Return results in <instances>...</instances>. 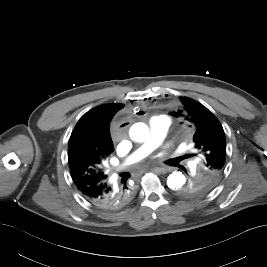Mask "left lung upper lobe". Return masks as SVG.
I'll list each match as a JSON object with an SVG mask.
<instances>
[{
  "label": "left lung upper lobe",
  "mask_w": 267,
  "mask_h": 267,
  "mask_svg": "<svg viewBox=\"0 0 267 267\" xmlns=\"http://www.w3.org/2000/svg\"><path fill=\"white\" fill-rule=\"evenodd\" d=\"M182 105L186 120L196 127L193 141L195 148L203 155V163L201 170L179 192L185 197L207 194L216 187L224 173L226 161L224 130L218 119L202 104L183 97Z\"/></svg>",
  "instance_id": "1"
}]
</instances>
